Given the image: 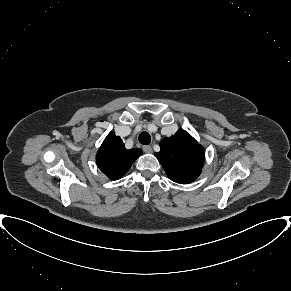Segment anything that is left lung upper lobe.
<instances>
[{
	"label": "left lung upper lobe",
	"mask_w": 291,
	"mask_h": 291,
	"mask_svg": "<svg viewBox=\"0 0 291 291\" xmlns=\"http://www.w3.org/2000/svg\"><path fill=\"white\" fill-rule=\"evenodd\" d=\"M160 152L155 153L167 176L174 182L188 184L200 175L204 159V149L185 130L160 142Z\"/></svg>",
	"instance_id": "obj_1"
}]
</instances>
